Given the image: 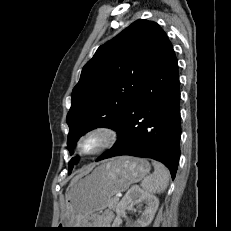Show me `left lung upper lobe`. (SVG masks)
Segmentation results:
<instances>
[{"label": "left lung upper lobe", "instance_id": "obj_1", "mask_svg": "<svg viewBox=\"0 0 231 231\" xmlns=\"http://www.w3.org/2000/svg\"><path fill=\"white\" fill-rule=\"evenodd\" d=\"M166 38L157 23L140 19L97 49L72 91L68 146L96 127L116 129ZM77 162L73 157L69 169Z\"/></svg>", "mask_w": 231, "mask_h": 231}]
</instances>
